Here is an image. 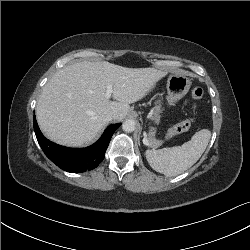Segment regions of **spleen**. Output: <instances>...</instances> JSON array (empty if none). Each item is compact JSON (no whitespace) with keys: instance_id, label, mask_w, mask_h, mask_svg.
Masks as SVG:
<instances>
[{"instance_id":"obj_1","label":"spleen","mask_w":250,"mask_h":250,"mask_svg":"<svg viewBox=\"0 0 250 250\" xmlns=\"http://www.w3.org/2000/svg\"><path fill=\"white\" fill-rule=\"evenodd\" d=\"M211 138L208 129L196 132L190 141L182 146L147 150L146 159L157 172L167 177L177 176L192 167L204 153Z\"/></svg>"}]
</instances>
